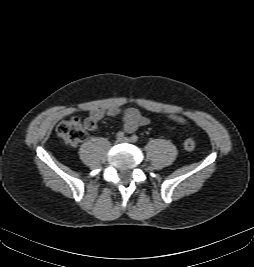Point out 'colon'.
<instances>
[{"label": "colon", "mask_w": 254, "mask_h": 267, "mask_svg": "<svg viewBox=\"0 0 254 267\" xmlns=\"http://www.w3.org/2000/svg\"><path fill=\"white\" fill-rule=\"evenodd\" d=\"M171 119L178 123L185 122L184 118L177 115L171 116ZM96 126V122L91 118L81 120L78 117H72L58 124L57 133L65 142L74 145L84 141L88 131L93 130ZM183 145L187 151H193L196 147L195 141L191 138L186 139Z\"/></svg>", "instance_id": "obj_1"}]
</instances>
